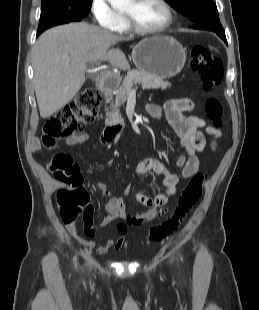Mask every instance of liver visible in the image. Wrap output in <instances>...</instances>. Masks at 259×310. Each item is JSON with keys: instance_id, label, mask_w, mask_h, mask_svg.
Here are the masks:
<instances>
[{"instance_id": "liver-1", "label": "liver", "mask_w": 259, "mask_h": 310, "mask_svg": "<svg viewBox=\"0 0 259 310\" xmlns=\"http://www.w3.org/2000/svg\"><path fill=\"white\" fill-rule=\"evenodd\" d=\"M124 38L87 23H71L44 32L33 48L35 94L40 116L67 105L85 83L87 63L105 60L120 69L130 65L120 49Z\"/></svg>"}]
</instances>
